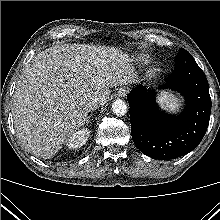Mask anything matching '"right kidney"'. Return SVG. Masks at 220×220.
Here are the masks:
<instances>
[{
    "mask_svg": "<svg viewBox=\"0 0 220 220\" xmlns=\"http://www.w3.org/2000/svg\"><path fill=\"white\" fill-rule=\"evenodd\" d=\"M90 136V131L89 129H81V130H78L76 132H74L72 134V136L68 139V141L66 142V145L69 147V148H72V149H77V148H80L82 147L86 141L88 140Z\"/></svg>",
    "mask_w": 220,
    "mask_h": 220,
    "instance_id": "obj_1",
    "label": "right kidney"
}]
</instances>
